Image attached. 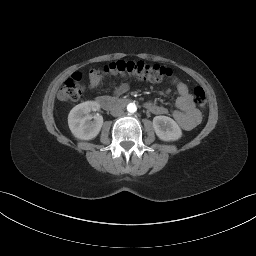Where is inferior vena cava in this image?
I'll list each match as a JSON object with an SVG mask.
<instances>
[{
  "label": "inferior vena cava",
  "instance_id": "602c4592",
  "mask_svg": "<svg viewBox=\"0 0 256 256\" xmlns=\"http://www.w3.org/2000/svg\"><path fill=\"white\" fill-rule=\"evenodd\" d=\"M124 113L123 109L121 107H114L112 110H111V115L112 116H120Z\"/></svg>",
  "mask_w": 256,
  "mask_h": 256
}]
</instances>
